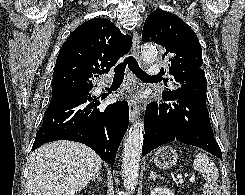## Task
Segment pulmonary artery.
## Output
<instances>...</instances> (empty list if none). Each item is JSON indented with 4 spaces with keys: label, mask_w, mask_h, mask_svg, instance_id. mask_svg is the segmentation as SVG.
Listing matches in <instances>:
<instances>
[{
    "label": "pulmonary artery",
    "mask_w": 245,
    "mask_h": 195,
    "mask_svg": "<svg viewBox=\"0 0 245 195\" xmlns=\"http://www.w3.org/2000/svg\"><path fill=\"white\" fill-rule=\"evenodd\" d=\"M151 72L152 73H157L158 70H157V64H153L152 67H151Z\"/></svg>",
    "instance_id": "obj_1"
}]
</instances>
